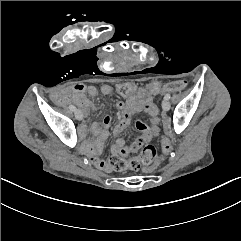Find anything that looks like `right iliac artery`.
<instances>
[{
  "instance_id": "82829eb1",
  "label": "right iliac artery",
  "mask_w": 241,
  "mask_h": 241,
  "mask_svg": "<svg viewBox=\"0 0 241 241\" xmlns=\"http://www.w3.org/2000/svg\"><path fill=\"white\" fill-rule=\"evenodd\" d=\"M69 109H70L71 111H75V110H76V107L73 106V105H70V106H69Z\"/></svg>"
}]
</instances>
